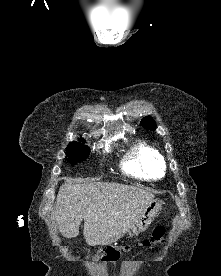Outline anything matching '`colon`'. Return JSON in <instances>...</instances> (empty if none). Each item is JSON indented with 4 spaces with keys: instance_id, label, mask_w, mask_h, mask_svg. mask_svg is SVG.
<instances>
[{
    "instance_id": "1",
    "label": "colon",
    "mask_w": 221,
    "mask_h": 276,
    "mask_svg": "<svg viewBox=\"0 0 221 276\" xmlns=\"http://www.w3.org/2000/svg\"><path fill=\"white\" fill-rule=\"evenodd\" d=\"M165 227L157 226L152 235L142 242H130L120 246L101 245L96 253V258L100 261H117L121 256V251H130L133 247H151L164 240Z\"/></svg>"
}]
</instances>
